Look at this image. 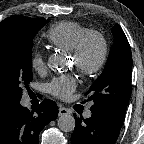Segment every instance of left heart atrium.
I'll return each mask as SVG.
<instances>
[{"instance_id":"39dd6f15","label":"left heart atrium","mask_w":144,"mask_h":144,"mask_svg":"<svg viewBox=\"0 0 144 144\" xmlns=\"http://www.w3.org/2000/svg\"><path fill=\"white\" fill-rule=\"evenodd\" d=\"M77 82L74 76H62L55 78L48 85L47 89L50 94L60 99H67L75 90Z\"/></svg>"}]
</instances>
